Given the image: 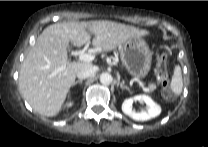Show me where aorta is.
I'll return each mask as SVG.
<instances>
[{"instance_id":"1","label":"aorta","mask_w":208,"mask_h":147,"mask_svg":"<svg viewBox=\"0 0 208 147\" xmlns=\"http://www.w3.org/2000/svg\"><path fill=\"white\" fill-rule=\"evenodd\" d=\"M100 82L103 85H109L113 82V77L109 73H102L101 76H100Z\"/></svg>"}]
</instances>
